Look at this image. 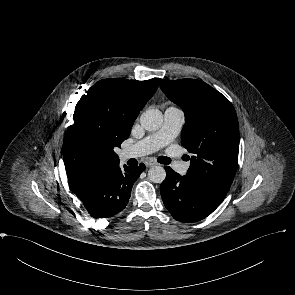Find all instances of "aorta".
<instances>
[{"label":"aorta","mask_w":295,"mask_h":295,"mask_svg":"<svg viewBox=\"0 0 295 295\" xmlns=\"http://www.w3.org/2000/svg\"><path fill=\"white\" fill-rule=\"evenodd\" d=\"M163 123V115L158 109H149L140 116V124L147 131L158 130ZM151 182L162 183L166 178V171L162 166H153L148 171Z\"/></svg>","instance_id":"1"}]
</instances>
